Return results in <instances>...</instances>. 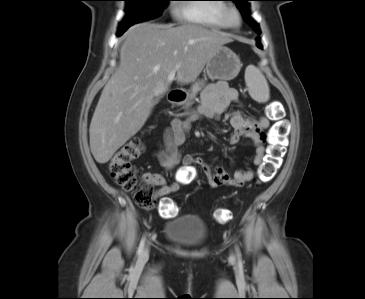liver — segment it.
Listing matches in <instances>:
<instances>
[{
  "mask_svg": "<svg viewBox=\"0 0 365 299\" xmlns=\"http://www.w3.org/2000/svg\"><path fill=\"white\" fill-rule=\"evenodd\" d=\"M233 40L224 32L198 25L139 23L124 35L120 64L105 85L90 128L95 160L107 163L145 124L155 97L169 89L168 75L189 84L201 74L213 53Z\"/></svg>",
  "mask_w": 365,
  "mask_h": 299,
  "instance_id": "obj_1",
  "label": "liver"
}]
</instances>
